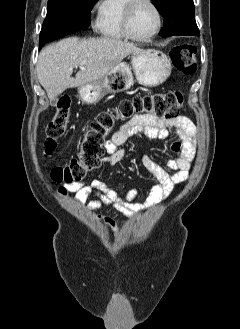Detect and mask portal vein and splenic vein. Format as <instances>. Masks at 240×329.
I'll use <instances>...</instances> for the list:
<instances>
[{
  "instance_id": "18ae733b",
  "label": "portal vein and splenic vein",
  "mask_w": 240,
  "mask_h": 329,
  "mask_svg": "<svg viewBox=\"0 0 240 329\" xmlns=\"http://www.w3.org/2000/svg\"><path fill=\"white\" fill-rule=\"evenodd\" d=\"M79 67H80L81 70H86V68L83 67V66H79Z\"/></svg>"
}]
</instances>
